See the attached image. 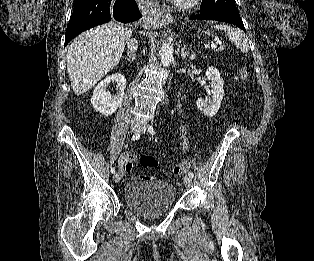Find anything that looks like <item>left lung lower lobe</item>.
I'll list each match as a JSON object with an SVG mask.
<instances>
[{
  "instance_id": "1",
  "label": "left lung lower lobe",
  "mask_w": 314,
  "mask_h": 261,
  "mask_svg": "<svg viewBox=\"0 0 314 261\" xmlns=\"http://www.w3.org/2000/svg\"><path fill=\"white\" fill-rule=\"evenodd\" d=\"M191 20H216L220 22H226L238 26L246 32L244 24L239 14L230 13H204L200 12L198 15L190 17Z\"/></svg>"
}]
</instances>
